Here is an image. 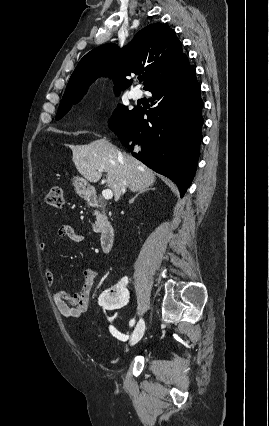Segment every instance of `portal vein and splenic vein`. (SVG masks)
<instances>
[{"mask_svg": "<svg viewBox=\"0 0 269 426\" xmlns=\"http://www.w3.org/2000/svg\"><path fill=\"white\" fill-rule=\"evenodd\" d=\"M99 172H102V170H99ZM102 196L105 200H110L113 197V192L110 189H105L102 191Z\"/></svg>", "mask_w": 269, "mask_h": 426, "instance_id": "18ae733b", "label": "portal vein and splenic vein"}]
</instances>
